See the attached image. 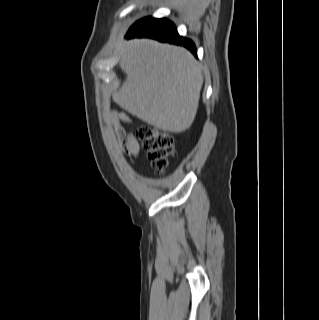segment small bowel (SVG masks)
I'll return each instance as SVG.
<instances>
[{
    "label": "small bowel",
    "mask_w": 319,
    "mask_h": 320,
    "mask_svg": "<svg viewBox=\"0 0 319 320\" xmlns=\"http://www.w3.org/2000/svg\"><path fill=\"white\" fill-rule=\"evenodd\" d=\"M110 123L113 126H117L120 123H130V119L125 113H120L113 116L110 119ZM118 133L124 144L123 154L131 161V163L135 164L140 156V145L136 136L131 130L125 131L118 129Z\"/></svg>",
    "instance_id": "small-bowel-1"
}]
</instances>
